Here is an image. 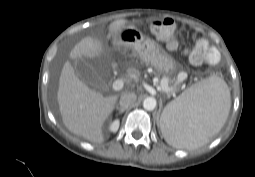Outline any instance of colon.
Masks as SVG:
<instances>
[{
	"mask_svg": "<svg viewBox=\"0 0 255 177\" xmlns=\"http://www.w3.org/2000/svg\"><path fill=\"white\" fill-rule=\"evenodd\" d=\"M151 30L157 39L165 41L170 49H174L176 43V26L171 19H156L151 23ZM218 58V53L208 41L198 40L189 51V60L194 65H201L205 62L214 63Z\"/></svg>",
	"mask_w": 255,
	"mask_h": 177,
	"instance_id": "colon-1",
	"label": "colon"
}]
</instances>
